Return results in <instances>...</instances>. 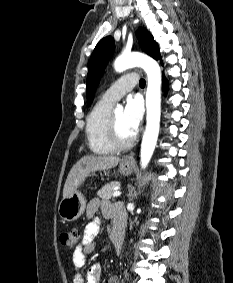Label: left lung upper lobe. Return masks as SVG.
I'll use <instances>...</instances> for the list:
<instances>
[{
	"label": "left lung upper lobe",
	"instance_id": "obj_1",
	"mask_svg": "<svg viewBox=\"0 0 233 283\" xmlns=\"http://www.w3.org/2000/svg\"><path fill=\"white\" fill-rule=\"evenodd\" d=\"M139 42L143 51L154 59L160 57L159 46L154 41L153 36L144 28H139L137 31ZM115 49V42L113 37H104L95 47L89 63L88 75H87V104H91L95 90L99 83V80L103 74V71L107 65V62Z\"/></svg>",
	"mask_w": 233,
	"mask_h": 283
}]
</instances>
